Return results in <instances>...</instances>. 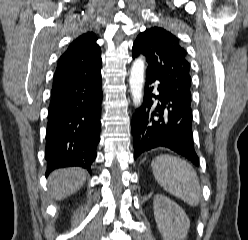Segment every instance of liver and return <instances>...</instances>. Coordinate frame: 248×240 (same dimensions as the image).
Returning <instances> with one entry per match:
<instances>
[{
  "label": "liver",
  "mask_w": 248,
  "mask_h": 240,
  "mask_svg": "<svg viewBox=\"0 0 248 240\" xmlns=\"http://www.w3.org/2000/svg\"><path fill=\"white\" fill-rule=\"evenodd\" d=\"M86 176V171L81 168H66L54 171L48 179L52 197L61 200L75 193L85 183Z\"/></svg>",
  "instance_id": "liver-1"
}]
</instances>
